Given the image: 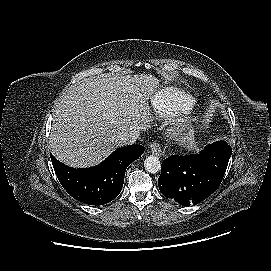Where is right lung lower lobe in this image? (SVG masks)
<instances>
[{
	"label": "right lung lower lobe",
	"instance_id": "right-lung-lower-lobe-1",
	"mask_svg": "<svg viewBox=\"0 0 271 271\" xmlns=\"http://www.w3.org/2000/svg\"><path fill=\"white\" fill-rule=\"evenodd\" d=\"M143 152L140 145L120 148L99 165L82 169L68 167L50 156L57 178L68 194L89 205H103L119 195L126 168Z\"/></svg>",
	"mask_w": 271,
	"mask_h": 271
}]
</instances>
